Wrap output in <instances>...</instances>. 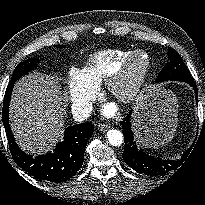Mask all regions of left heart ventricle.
Masks as SVG:
<instances>
[{"label": "left heart ventricle", "instance_id": "left-heart-ventricle-1", "mask_svg": "<svg viewBox=\"0 0 205 205\" xmlns=\"http://www.w3.org/2000/svg\"><path fill=\"white\" fill-rule=\"evenodd\" d=\"M145 58L144 56H139L133 63L130 74L134 75L138 71V69L144 64Z\"/></svg>", "mask_w": 205, "mask_h": 205}]
</instances>
